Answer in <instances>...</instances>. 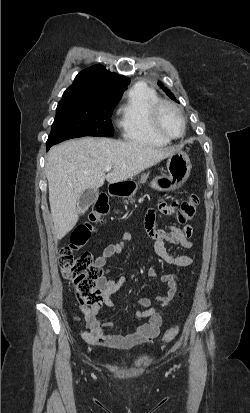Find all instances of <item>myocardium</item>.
I'll return each mask as SVG.
<instances>
[{
  "label": "myocardium",
  "instance_id": "obj_1",
  "mask_svg": "<svg viewBox=\"0 0 250 413\" xmlns=\"http://www.w3.org/2000/svg\"><path fill=\"white\" fill-rule=\"evenodd\" d=\"M164 108H170V109L174 110L178 114V116L180 117V119L182 121V131L179 135L172 136V135L166 133L162 129V127L160 125V115H161V112ZM151 126H152L153 131L158 136H160L161 138L166 139L168 141H172V140L179 139L185 133L186 119L184 117L183 112L174 103L166 101V100H160L152 108V111H151Z\"/></svg>",
  "mask_w": 250,
  "mask_h": 413
}]
</instances>
